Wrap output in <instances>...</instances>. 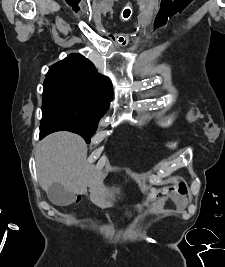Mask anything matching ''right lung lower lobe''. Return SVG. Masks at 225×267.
I'll list each match as a JSON object with an SVG mask.
<instances>
[{
    "label": "right lung lower lobe",
    "mask_w": 225,
    "mask_h": 267,
    "mask_svg": "<svg viewBox=\"0 0 225 267\" xmlns=\"http://www.w3.org/2000/svg\"><path fill=\"white\" fill-rule=\"evenodd\" d=\"M63 128L52 121H41V126H40V138L45 137L46 135L55 132V131H60Z\"/></svg>",
    "instance_id": "right-lung-lower-lobe-1"
}]
</instances>
